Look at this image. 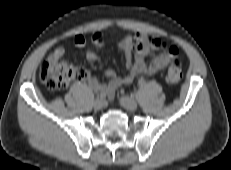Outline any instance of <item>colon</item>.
I'll return each mask as SVG.
<instances>
[{
  "mask_svg": "<svg viewBox=\"0 0 231 170\" xmlns=\"http://www.w3.org/2000/svg\"><path fill=\"white\" fill-rule=\"evenodd\" d=\"M169 54L173 57V61L167 70L166 80L169 84L176 85L182 79V68L178 59L179 51L177 47H171ZM86 77L87 72L83 68L60 61L56 63L45 61L39 71L40 81L51 92L64 89L72 81L84 80Z\"/></svg>",
  "mask_w": 231,
  "mask_h": 170,
  "instance_id": "1",
  "label": "colon"
}]
</instances>
